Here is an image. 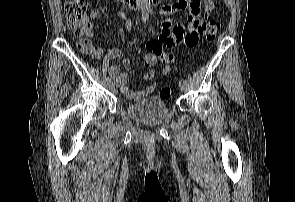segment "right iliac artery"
<instances>
[{"mask_svg": "<svg viewBox=\"0 0 295 202\" xmlns=\"http://www.w3.org/2000/svg\"><path fill=\"white\" fill-rule=\"evenodd\" d=\"M107 81H109V82H110V81H111V79L108 77V78H107Z\"/></svg>", "mask_w": 295, "mask_h": 202, "instance_id": "82829eb1", "label": "right iliac artery"}]
</instances>
